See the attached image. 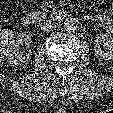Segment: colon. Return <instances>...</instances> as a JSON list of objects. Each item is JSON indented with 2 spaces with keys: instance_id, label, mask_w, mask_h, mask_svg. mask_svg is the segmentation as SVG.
I'll return each instance as SVG.
<instances>
[{
  "instance_id": "obj_1",
  "label": "colon",
  "mask_w": 113,
  "mask_h": 113,
  "mask_svg": "<svg viewBox=\"0 0 113 113\" xmlns=\"http://www.w3.org/2000/svg\"><path fill=\"white\" fill-rule=\"evenodd\" d=\"M12 36V32L9 29L0 25V60L3 58L6 49L9 47Z\"/></svg>"
}]
</instances>
